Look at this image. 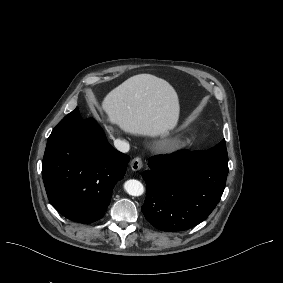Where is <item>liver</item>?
I'll return each instance as SVG.
<instances>
[{
	"label": "liver",
	"instance_id": "1",
	"mask_svg": "<svg viewBox=\"0 0 283 283\" xmlns=\"http://www.w3.org/2000/svg\"><path fill=\"white\" fill-rule=\"evenodd\" d=\"M100 110L109 126L115 125L125 134L163 139L177 128L181 107L178 93L167 80L141 73L109 91Z\"/></svg>",
	"mask_w": 283,
	"mask_h": 283
}]
</instances>
